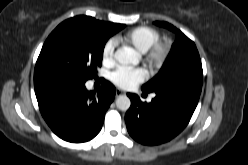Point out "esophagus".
Returning <instances> with one entry per match:
<instances>
[{"label":"esophagus","mask_w":248,"mask_h":165,"mask_svg":"<svg viewBox=\"0 0 248 165\" xmlns=\"http://www.w3.org/2000/svg\"><path fill=\"white\" fill-rule=\"evenodd\" d=\"M125 92L121 89H117L116 90V96H120V95H123Z\"/></svg>","instance_id":"esophagus-1"}]
</instances>
